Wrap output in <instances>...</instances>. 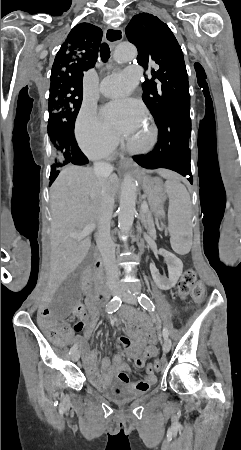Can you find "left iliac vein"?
<instances>
[{"instance_id":"obj_1","label":"left iliac vein","mask_w":241,"mask_h":450,"mask_svg":"<svg viewBox=\"0 0 241 450\" xmlns=\"http://www.w3.org/2000/svg\"><path fill=\"white\" fill-rule=\"evenodd\" d=\"M121 298L126 303H130V304L137 303L136 297L130 292L123 291V293L121 294ZM170 348H171L170 340L168 338H166L163 342V351L165 353H167V352H169Z\"/></svg>"}]
</instances>
